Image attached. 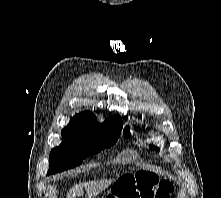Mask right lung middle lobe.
<instances>
[{"label":"right lung middle lobe","instance_id":"obj_1","mask_svg":"<svg viewBox=\"0 0 221 198\" xmlns=\"http://www.w3.org/2000/svg\"><path fill=\"white\" fill-rule=\"evenodd\" d=\"M119 135L120 132L117 131H99L84 137L63 136L64 140L60 146L50 152L48 174L62 172L80 165L87 156L115 144Z\"/></svg>","mask_w":221,"mask_h":198}]
</instances>
